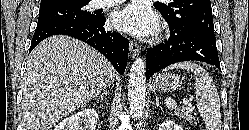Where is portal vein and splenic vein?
Masks as SVG:
<instances>
[{"instance_id":"1","label":"portal vein and splenic vein","mask_w":249,"mask_h":130,"mask_svg":"<svg viewBox=\"0 0 249 130\" xmlns=\"http://www.w3.org/2000/svg\"><path fill=\"white\" fill-rule=\"evenodd\" d=\"M183 104H185V105H187V104H189V100L188 99H183Z\"/></svg>"}]
</instances>
